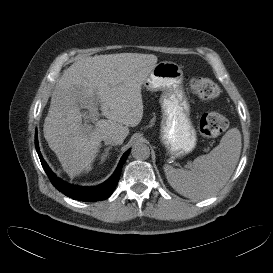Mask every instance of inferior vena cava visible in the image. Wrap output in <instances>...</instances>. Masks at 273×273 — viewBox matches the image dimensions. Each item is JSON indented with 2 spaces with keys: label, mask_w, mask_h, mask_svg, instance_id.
<instances>
[{
  "label": "inferior vena cava",
  "mask_w": 273,
  "mask_h": 273,
  "mask_svg": "<svg viewBox=\"0 0 273 273\" xmlns=\"http://www.w3.org/2000/svg\"><path fill=\"white\" fill-rule=\"evenodd\" d=\"M104 142L106 145H120L122 140L116 136H108L104 138Z\"/></svg>",
  "instance_id": "1"
}]
</instances>
